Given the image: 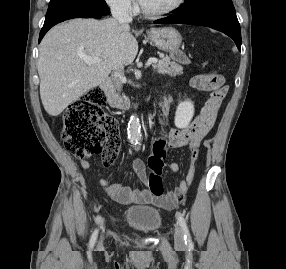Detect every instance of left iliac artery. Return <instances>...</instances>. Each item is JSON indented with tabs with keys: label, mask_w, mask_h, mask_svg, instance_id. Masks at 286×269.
<instances>
[{
	"label": "left iliac artery",
	"mask_w": 286,
	"mask_h": 269,
	"mask_svg": "<svg viewBox=\"0 0 286 269\" xmlns=\"http://www.w3.org/2000/svg\"><path fill=\"white\" fill-rule=\"evenodd\" d=\"M178 222L184 232V240H185L186 245L189 247H192L193 243H192L191 235H190L186 220L182 214L178 216Z\"/></svg>",
	"instance_id": "1"
}]
</instances>
